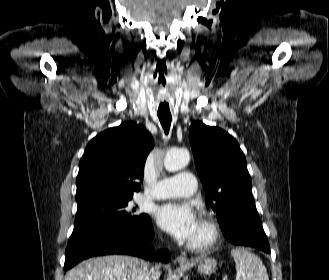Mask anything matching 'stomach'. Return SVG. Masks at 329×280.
I'll use <instances>...</instances> for the list:
<instances>
[{
    "label": "stomach",
    "instance_id": "obj_1",
    "mask_svg": "<svg viewBox=\"0 0 329 280\" xmlns=\"http://www.w3.org/2000/svg\"><path fill=\"white\" fill-rule=\"evenodd\" d=\"M217 270V262L212 258H203L199 261L197 271L202 275H211Z\"/></svg>",
    "mask_w": 329,
    "mask_h": 280
}]
</instances>
